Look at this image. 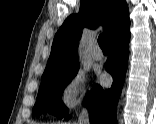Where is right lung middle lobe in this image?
Here are the masks:
<instances>
[{"instance_id":"obj_1","label":"right lung middle lobe","mask_w":156,"mask_h":124,"mask_svg":"<svg viewBox=\"0 0 156 124\" xmlns=\"http://www.w3.org/2000/svg\"><path fill=\"white\" fill-rule=\"evenodd\" d=\"M79 66L66 70L62 73L42 78L37 101L33 113L37 116L43 113H50L58 118L68 114V109L63 104L61 97L65 87L77 74Z\"/></svg>"}]
</instances>
